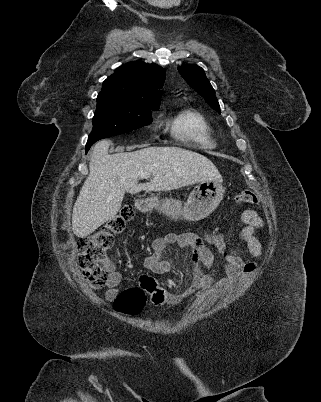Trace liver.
I'll return each instance as SVG.
<instances>
[{
  "label": "liver",
  "instance_id": "liver-1",
  "mask_svg": "<svg viewBox=\"0 0 321 402\" xmlns=\"http://www.w3.org/2000/svg\"><path fill=\"white\" fill-rule=\"evenodd\" d=\"M110 142L99 141L91 154L89 175L72 212V231L83 238L93 233L121 208L125 192L170 191L208 180H221L205 156L179 147H146L108 154ZM152 179L138 183L141 173Z\"/></svg>",
  "mask_w": 321,
  "mask_h": 402
}]
</instances>
